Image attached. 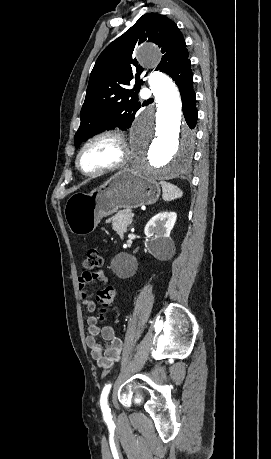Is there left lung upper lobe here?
<instances>
[{
    "instance_id": "5c2ea615",
    "label": "left lung upper lobe",
    "mask_w": 271,
    "mask_h": 459,
    "mask_svg": "<svg viewBox=\"0 0 271 459\" xmlns=\"http://www.w3.org/2000/svg\"><path fill=\"white\" fill-rule=\"evenodd\" d=\"M144 41L161 48L163 56L156 70L166 74L170 75L189 56L183 35L173 21L158 13L141 16L98 57L81 109V124L74 136L75 147L105 129L130 128L141 105L129 97L135 98L143 83L139 78L143 69L133 54L136 44ZM134 74L135 87L129 89Z\"/></svg>"
}]
</instances>
